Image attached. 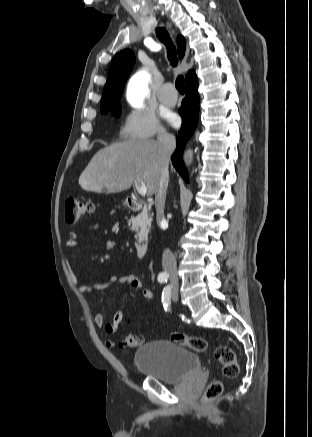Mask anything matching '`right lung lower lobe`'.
I'll list each match as a JSON object with an SVG mask.
<instances>
[{"instance_id":"obj_1","label":"right lung lower lobe","mask_w":312,"mask_h":437,"mask_svg":"<svg viewBox=\"0 0 312 437\" xmlns=\"http://www.w3.org/2000/svg\"><path fill=\"white\" fill-rule=\"evenodd\" d=\"M197 89L198 81L196 75L194 74L185 81L186 97L182 101V105L179 109V113L182 116L183 123L181 130L178 132V135L176 137L177 148L171 156L173 166L186 182H188L189 179L187 170L182 159V154L185 144L194 132L198 122L199 95Z\"/></svg>"}]
</instances>
